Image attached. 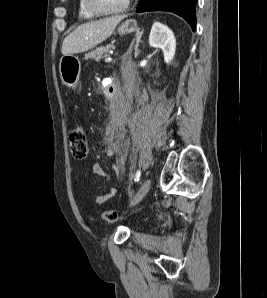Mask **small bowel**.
<instances>
[{"mask_svg": "<svg viewBox=\"0 0 267 298\" xmlns=\"http://www.w3.org/2000/svg\"><path fill=\"white\" fill-rule=\"evenodd\" d=\"M116 170L118 171V169H116ZM91 172L93 174H96V175L101 176V177H106L107 176V174L104 171V169L102 168V166L97 164V163L92 164ZM117 192H118L117 188L114 187V188H111L108 193L98 195L95 199L96 204L97 205H103L104 203L109 201L111 198L116 196Z\"/></svg>", "mask_w": 267, "mask_h": 298, "instance_id": "c3829d8e", "label": "small bowel"}]
</instances>
